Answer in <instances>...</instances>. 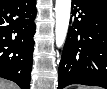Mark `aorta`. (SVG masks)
Here are the masks:
<instances>
[{
  "mask_svg": "<svg viewBox=\"0 0 107 89\" xmlns=\"http://www.w3.org/2000/svg\"><path fill=\"white\" fill-rule=\"evenodd\" d=\"M70 12H71V0H56L55 37H56L57 47H62V45L65 42L67 32H68V27H69Z\"/></svg>",
  "mask_w": 107,
  "mask_h": 89,
  "instance_id": "1",
  "label": "aorta"
}]
</instances>
